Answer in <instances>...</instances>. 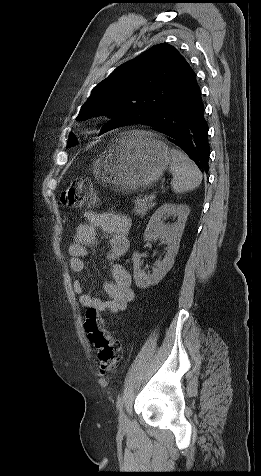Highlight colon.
<instances>
[{
	"label": "colon",
	"mask_w": 261,
	"mask_h": 476,
	"mask_svg": "<svg viewBox=\"0 0 261 476\" xmlns=\"http://www.w3.org/2000/svg\"><path fill=\"white\" fill-rule=\"evenodd\" d=\"M96 200L92 183L87 178L73 180L60 197L62 205L67 208L88 209L95 205ZM84 329L96 351L100 372L105 374L114 371L121 357L120 344L108 333L103 319L93 308L86 312Z\"/></svg>",
	"instance_id": "obj_1"
}]
</instances>
